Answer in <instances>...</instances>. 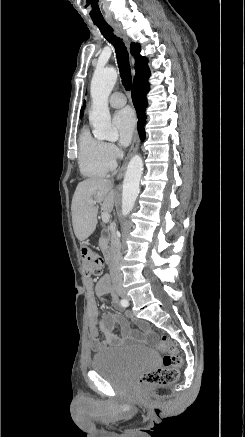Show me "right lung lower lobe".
<instances>
[{"mask_svg":"<svg viewBox=\"0 0 245 437\" xmlns=\"http://www.w3.org/2000/svg\"><path fill=\"white\" fill-rule=\"evenodd\" d=\"M149 91V83L146 80L133 84L132 100L138 117V132L141 140L145 138L144 126L146 124L145 109L147 107L146 94Z\"/></svg>","mask_w":245,"mask_h":437,"instance_id":"right-lung-lower-lobe-1","label":"right lung lower lobe"}]
</instances>
